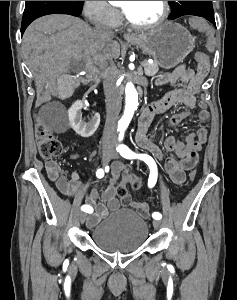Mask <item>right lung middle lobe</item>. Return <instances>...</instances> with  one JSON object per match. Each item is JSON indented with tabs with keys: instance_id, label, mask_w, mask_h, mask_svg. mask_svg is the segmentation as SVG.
Returning a JSON list of instances; mask_svg holds the SVG:
<instances>
[{
	"instance_id": "obj_1",
	"label": "right lung middle lobe",
	"mask_w": 237,
	"mask_h": 300,
	"mask_svg": "<svg viewBox=\"0 0 237 300\" xmlns=\"http://www.w3.org/2000/svg\"><path fill=\"white\" fill-rule=\"evenodd\" d=\"M83 1H26L22 20H29L41 13L62 9L82 8Z\"/></svg>"
}]
</instances>
